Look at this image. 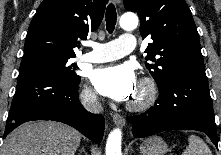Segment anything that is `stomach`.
Wrapping results in <instances>:
<instances>
[{
	"label": "stomach",
	"mask_w": 221,
	"mask_h": 155,
	"mask_svg": "<svg viewBox=\"0 0 221 155\" xmlns=\"http://www.w3.org/2000/svg\"><path fill=\"white\" fill-rule=\"evenodd\" d=\"M167 151L166 142L158 136L149 137L140 145L142 155H165Z\"/></svg>",
	"instance_id": "obj_1"
}]
</instances>
